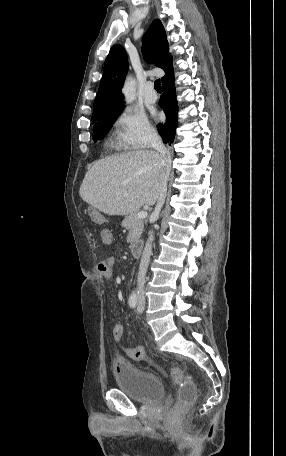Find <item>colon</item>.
I'll return each mask as SVG.
<instances>
[{
  "mask_svg": "<svg viewBox=\"0 0 286 456\" xmlns=\"http://www.w3.org/2000/svg\"><path fill=\"white\" fill-rule=\"evenodd\" d=\"M125 353L134 360H147L145 351L140 346L126 348ZM171 377L174 383L180 385L178 390V403L172 410V414H178L192 404L196 395V387L193 383L183 380L182 371L179 367H173L171 369Z\"/></svg>",
  "mask_w": 286,
  "mask_h": 456,
  "instance_id": "5ec220e1",
  "label": "colon"
}]
</instances>
